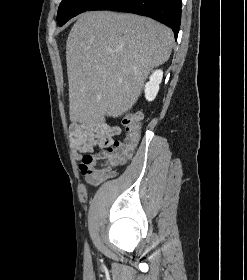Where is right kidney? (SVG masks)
<instances>
[{
	"label": "right kidney",
	"mask_w": 247,
	"mask_h": 280,
	"mask_svg": "<svg viewBox=\"0 0 247 280\" xmlns=\"http://www.w3.org/2000/svg\"><path fill=\"white\" fill-rule=\"evenodd\" d=\"M162 77V70H156L150 76L149 82L145 85V97L148 101H152L155 99L159 91V84L162 81Z\"/></svg>",
	"instance_id": "1"
}]
</instances>
